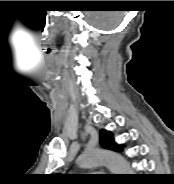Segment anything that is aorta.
I'll return each instance as SVG.
<instances>
[{"label": "aorta", "instance_id": "1", "mask_svg": "<svg viewBox=\"0 0 174 184\" xmlns=\"http://www.w3.org/2000/svg\"><path fill=\"white\" fill-rule=\"evenodd\" d=\"M78 164L84 168L106 165L113 174H132V169L124 157L106 150L86 151L79 156Z\"/></svg>", "mask_w": 174, "mask_h": 184}]
</instances>
